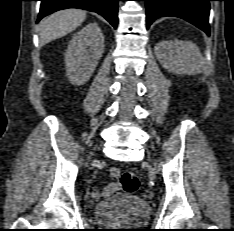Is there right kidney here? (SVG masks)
<instances>
[{
    "label": "right kidney",
    "instance_id": "right-kidney-1",
    "mask_svg": "<svg viewBox=\"0 0 234 231\" xmlns=\"http://www.w3.org/2000/svg\"><path fill=\"white\" fill-rule=\"evenodd\" d=\"M104 50V35L96 22L77 32L65 53V68L68 79L76 85L89 80Z\"/></svg>",
    "mask_w": 234,
    "mask_h": 231
}]
</instances>
